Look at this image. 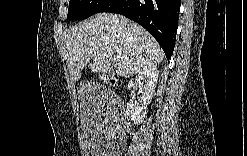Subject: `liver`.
Here are the masks:
<instances>
[{
  "instance_id": "liver-1",
  "label": "liver",
  "mask_w": 247,
  "mask_h": 156,
  "mask_svg": "<svg viewBox=\"0 0 247 156\" xmlns=\"http://www.w3.org/2000/svg\"><path fill=\"white\" fill-rule=\"evenodd\" d=\"M67 67L73 82L81 78L89 61L96 73H106L111 61L115 72L130 77L149 64L161 63L164 53L140 25L114 13H99L65 32Z\"/></svg>"
}]
</instances>
